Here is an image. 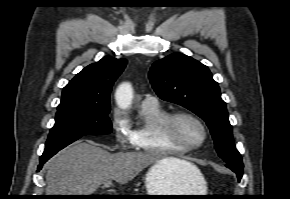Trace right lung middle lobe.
<instances>
[{
	"mask_svg": "<svg viewBox=\"0 0 290 199\" xmlns=\"http://www.w3.org/2000/svg\"><path fill=\"white\" fill-rule=\"evenodd\" d=\"M110 105H78L57 109L55 124L50 130L43 154L62 148L89 134H109L112 125Z\"/></svg>",
	"mask_w": 290,
	"mask_h": 199,
	"instance_id": "obj_1",
	"label": "right lung middle lobe"
}]
</instances>
